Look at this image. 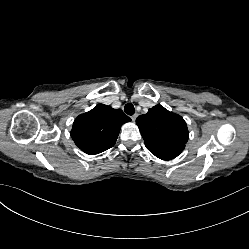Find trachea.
Masks as SVG:
<instances>
[{
    "instance_id": "obj_1",
    "label": "trachea",
    "mask_w": 249,
    "mask_h": 249,
    "mask_svg": "<svg viewBox=\"0 0 249 249\" xmlns=\"http://www.w3.org/2000/svg\"><path fill=\"white\" fill-rule=\"evenodd\" d=\"M124 111L128 115H133L135 113V108L131 103H127L124 107Z\"/></svg>"
}]
</instances>
